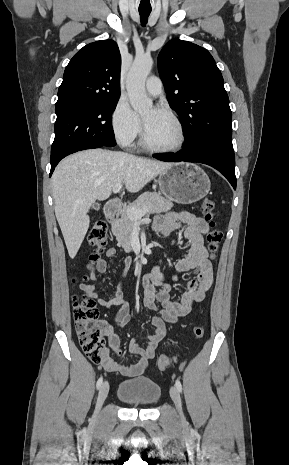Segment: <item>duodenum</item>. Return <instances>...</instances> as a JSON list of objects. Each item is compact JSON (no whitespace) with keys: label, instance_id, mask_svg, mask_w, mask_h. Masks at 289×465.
<instances>
[{"label":"duodenum","instance_id":"obj_1","mask_svg":"<svg viewBox=\"0 0 289 465\" xmlns=\"http://www.w3.org/2000/svg\"><path fill=\"white\" fill-rule=\"evenodd\" d=\"M121 202L118 199H113L108 202L105 208V217L109 222L117 220L120 212Z\"/></svg>","mask_w":289,"mask_h":465}]
</instances>
